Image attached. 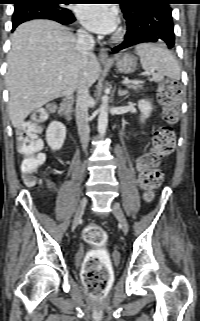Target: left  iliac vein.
I'll return each instance as SVG.
<instances>
[{"label":"left iliac vein","mask_w":200,"mask_h":321,"mask_svg":"<svg viewBox=\"0 0 200 321\" xmlns=\"http://www.w3.org/2000/svg\"><path fill=\"white\" fill-rule=\"evenodd\" d=\"M112 211H113V214L115 215V217L118 219V221L121 225L122 231L126 234L129 230V226H128L127 219H126L124 212L122 211L120 205L118 203L114 202L112 204Z\"/></svg>","instance_id":"4c4485c4"}]
</instances>
